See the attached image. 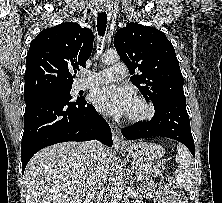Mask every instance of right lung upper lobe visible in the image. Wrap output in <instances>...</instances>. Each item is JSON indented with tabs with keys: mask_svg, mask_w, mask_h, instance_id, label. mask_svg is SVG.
<instances>
[{
	"mask_svg": "<svg viewBox=\"0 0 222 203\" xmlns=\"http://www.w3.org/2000/svg\"><path fill=\"white\" fill-rule=\"evenodd\" d=\"M93 48V33L73 22L44 29L31 42L26 57L24 93L72 86L73 76Z\"/></svg>",
	"mask_w": 222,
	"mask_h": 203,
	"instance_id": "right-lung-upper-lobe-1",
	"label": "right lung upper lobe"
}]
</instances>
